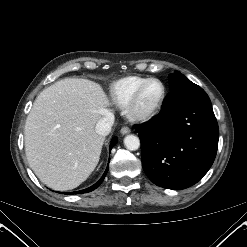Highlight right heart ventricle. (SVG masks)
<instances>
[{
	"label": "right heart ventricle",
	"mask_w": 247,
	"mask_h": 247,
	"mask_svg": "<svg viewBox=\"0 0 247 247\" xmlns=\"http://www.w3.org/2000/svg\"><path fill=\"white\" fill-rule=\"evenodd\" d=\"M147 79L149 78L143 76H127L114 82L110 90L113 103L126 108L135 90Z\"/></svg>",
	"instance_id": "right-heart-ventricle-1"
}]
</instances>
